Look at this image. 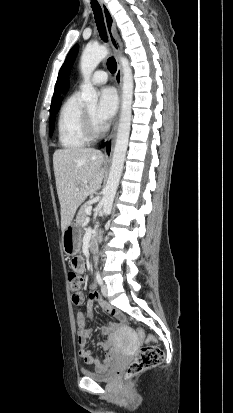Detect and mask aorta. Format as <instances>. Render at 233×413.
<instances>
[{
    "instance_id": "762f6f07",
    "label": "aorta",
    "mask_w": 233,
    "mask_h": 413,
    "mask_svg": "<svg viewBox=\"0 0 233 413\" xmlns=\"http://www.w3.org/2000/svg\"><path fill=\"white\" fill-rule=\"evenodd\" d=\"M108 54L109 50L105 46H88L82 53L80 60V69L84 79V84L82 86L81 98L87 105H97L98 93L91 84L90 77L98 64L104 58H106ZM120 61L123 70L121 115L112 157V164L102 199L103 214L105 216L108 215L112 210L114 197L123 171L132 118L134 88L132 69L127 58L121 57Z\"/></svg>"
}]
</instances>
